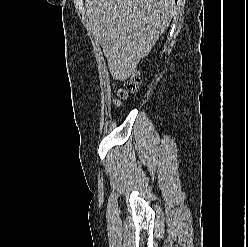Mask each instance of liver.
<instances>
[{
  "label": "liver",
  "mask_w": 248,
  "mask_h": 247,
  "mask_svg": "<svg viewBox=\"0 0 248 247\" xmlns=\"http://www.w3.org/2000/svg\"><path fill=\"white\" fill-rule=\"evenodd\" d=\"M91 31L113 78L125 81L169 26L174 0H86Z\"/></svg>",
  "instance_id": "obj_1"
}]
</instances>
